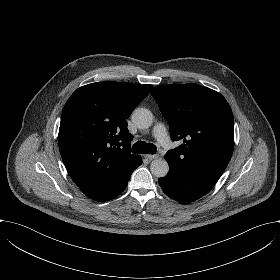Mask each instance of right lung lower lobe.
<instances>
[{
  "label": "right lung lower lobe",
  "instance_id": "98d812e1",
  "mask_svg": "<svg viewBox=\"0 0 280 280\" xmlns=\"http://www.w3.org/2000/svg\"><path fill=\"white\" fill-rule=\"evenodd\" d=\"M129 178H130V177H129ZM129 178H127V179L124 181V183L114 192V196H113L111 199L117 197V196L126 188L127 182H128V180H129ZM111 199H109V200H111Z\"/></svg>",
  "mask_w": 280,
  "mask_h": 280
}]
</instances>
